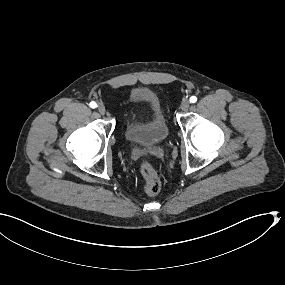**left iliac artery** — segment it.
<instances>
[{
  "mask_svg": "<svg viewBox=\"0 0 285 285\" xmlns=\"http://www.w3.org/2000/svg\"><path fill=\"white\" fill-rule=\"evenodd\" d=\"M196 101H197V97L196 96L190 97V102L191 103H195Z\"/></svg>",
  "mask_w": 285,
  "mask_h": 285,
  "instance_id": "obj_1",
  "label": "left iliac artery"
}]
</instances>
